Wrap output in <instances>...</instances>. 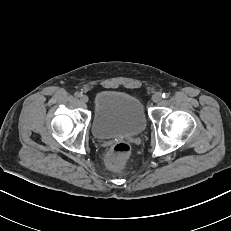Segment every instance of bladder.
I'll return each instance as SVG.
<instances>
[{
  "label": "bladder",
  "mask_w": 231,
  "mask_h": 231,
  "mask_svg": "<svg viewBox=\"0 0 231 231\" xmlns=\"http://www.w3.org/2000/svg\"><path fill=\"white\" fill-rule=\"evenodd\" d=\"M146 123L144 108L137 98L108 90L95 95L91 130L96 138L137 135Z\"/></svg>",
  "instance_id": "1"
}]
</instances>
